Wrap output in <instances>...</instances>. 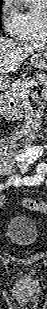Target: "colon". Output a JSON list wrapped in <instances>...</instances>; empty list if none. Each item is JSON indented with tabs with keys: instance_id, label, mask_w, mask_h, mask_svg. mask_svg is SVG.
Segmentation results:
<instances>
[{
	"instance_id": "5ec220e1",
	"label": "colon",
	"mask_w": 47,
	"mask_h": 309,
	"mask_svg": "<svg viewBox=\"0 0 47 309\" xmlns=\"http://www.w3.org/2000/svg\"><path fill=\"white\" fill-rule=\"evenodd\" d=\"M22 203L30 211L45 213L47 210L46 203L40 199L25 198Z\"/></svg>"
}]
</instances>
